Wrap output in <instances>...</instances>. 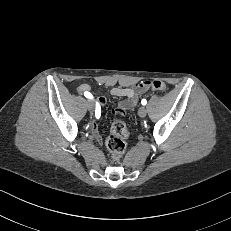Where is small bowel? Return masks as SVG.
<instances>
[{"mask_svg":"<svg viewBox=\"0 0 231 231\" xmlns=\"http://www.w3.org/2000/svg\"><path fill=\"white\" fill-rule=\"evenodd\" d=\"M148 86V82L136 84L133 87H113L108 93L114 97H121L123 100L118 104L117 108L112 111L113 114H124L127 110L131 109L137 104L138 95L142 93ZM78 91L89 92L91 91V87L89 84L82 83L78 86ZM97 105L100 107L103 106L106 102V98L104 96H99L96 98ZM99 117H96L98 119ZM90 129L93 137L98 141L102 142V137L99 133L98 126L96 120H92L90 123Z\"/></svg>","mask_w":231,"mask_h":231,"instance_id":"1","label":"small bowel"}]
</instances>
